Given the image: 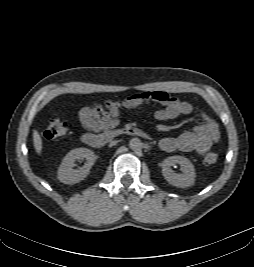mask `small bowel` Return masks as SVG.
<instances>
[{
    "instance_id": "small-bowel-1",
    "label": "small bowel",
    "mask_w": 254,
    "mask_h": 267,
    "mask_svg": "<svg viewBox=\"0 0 254 267\" xmlns=\"http://www.w3.org/2000/svg\"><path fill=\"white\" fill-rule=\"evenodd\" d=\"M162 106L154 114L159 121H167L181 115H197L201 124L191 131H186L177 137H166L160 141V148L166 152H194L205 154L219 138L216 121L204 111H195L193 106L181 101L164 91H145L130 95L122 101H107L83 107L79 111L82 126L91 132L111 129L119 123L122 110L142 109L149 103Z\"/></svg>"
}]
</instances>
